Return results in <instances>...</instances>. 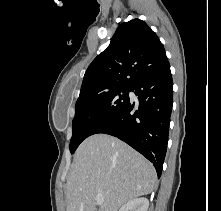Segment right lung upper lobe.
Returning a JSON list of instances; mask_svg holds the SVG:
<instances>
[{"label":"right lung upper lobe","instance_id":"1","mask_svg":"<svg viewBox=\"0 0 221 211\" xmlns=\"http://www.w3.org/2000/svg\"><path fill=\"white\" fill-rule=\"evenodd\" d=\"M168 66L163 44L151 28L140 19L124 22L86 70L79 98L130 88L142 77Z\"/></svg>","mask_w":221,"mask_h":211}]
</instances>
